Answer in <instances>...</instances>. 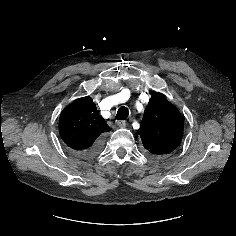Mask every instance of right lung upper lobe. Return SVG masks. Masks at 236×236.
Listing matches in <instances>:
<instances>
[{"label": "right lung upper lobe", "instance_id": "obj_1", "mask_svg": "<svg viewBox=\"0 0 236 236\" xmlns=\"http://www.w3.org/2000/svg\"><path fill=\"white\" fill-rule=\"evenodd\" d=\"M108 131L110 127L89 96L75 100L60 114V136L75 151L87 150Z\"/></svg>", "mask_w": 236, "mask_h": 236}]
</instances>
